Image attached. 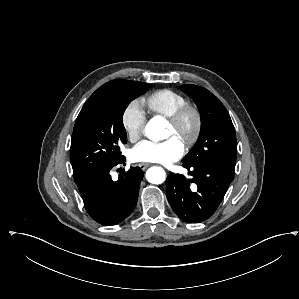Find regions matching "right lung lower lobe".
I'll return each mask as SVG.
<instances>
[{
  "instance_id": "obj_1",
  "label": "right lung lower lobe",
  "mask_w": 299,
  "mask_h": 299,
  "mask_svg": "<svg viewBox=\"0 0 299 299\" xmlns=\"http://www.w3.org/2000/svg\"><path fill=\"white\" fill-rule=\"evenodd\" d=\"M124 162L123 156L115 164L92 172L76 183L86 211L102 225L118 224L136 205L143 172L138 167H131L120 173L117 181L110 175L113 167Z\"/></svg>"
}]
</instances>
